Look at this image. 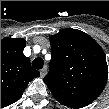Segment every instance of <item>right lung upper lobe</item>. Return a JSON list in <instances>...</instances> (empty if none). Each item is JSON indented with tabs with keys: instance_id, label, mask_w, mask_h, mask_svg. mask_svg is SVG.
<instances>
[{
	"instance_id": "right-lung-upper-lobe-1",
	"label": "right lung upper lobe",
	"mask_w": 109,
	"mask_h": 109,
	"mask_svg": "<svg viewBox=\"0 0 109 109\" xmlns=\"http://www.w3.org/2000/svg\"><path fill=\"white\" fill-rule=\"evenodd\" d=\"M25 45L23 38L1 40V107L16 102L28 83L40 76L23 54Z\"/></svg>"
}]
</instances>
